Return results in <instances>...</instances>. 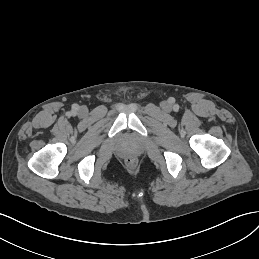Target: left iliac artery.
I'll use <instances>...</instances> for the list:
<instances>
[{
  "mask_svg": "<svg viewBox=\"0 0 259 259\" xmlns=\"http://www.w3.org/2000/svg\"><path fill=\"white\" fill-rule=\"evenodd\" d=\"M178 108V106H175V109H177Z\"/></svg>",
  "mask_w": 259,
  "mask_h": 259,
  "instance_id": "1",
  "label": "left iliac artery"
}]
</instances>
